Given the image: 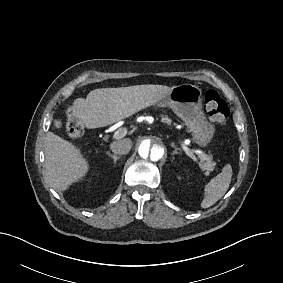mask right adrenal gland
Returning <instances> with one entry per match:
<instances>
[{"label":"right adrenal gland","instance_id":"right-adrenal-gland-1","mask_svg":"<svg viewBox=\"0 0 283 283\" xmlns=\"http://www.w3.org/2000/svg\"><path fill=\"white\" fill-rule=\"evenodd\" d=\"M107 156L113 160L114 164L120 159V156H112L110 153H107Z\"/></svg>","mask_w":283,"mask_h":283}]
</instances>
